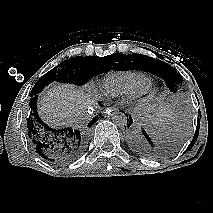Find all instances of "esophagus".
I'll use <instances>...</instances> for the list:
<instances>
[{
  "instance_id": "34e87169",
  "label": "esophagus",
  "mask_w": 213,
  "mask_h": 213,
  "mask_svg": "<svg viewBox=\"0 0 213 213\" xmlns=\"http://www.w3.org/2000/svg\"><path fill=\"white\" fill-rule=\"evenodd\" d=\"M119 112V108L116 107V106H113V107H109L107 110H106V113L108 115H113L114 113H117Z\"/></svg>"
}]
</instances>
